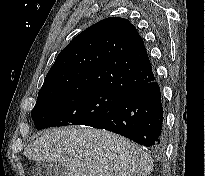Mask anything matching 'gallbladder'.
<instances>
[{
    "instance_id": "bac80fb5",
    "label": "gallbladder",
    "mask_w": 205,
    "mask_h": 176,
    "mask_svg": "<svg viewBox=\"0 0 205 176\" xmlns=\"http://www.w3.org/2000/svg\"><path fill=\"white\" fill-rule=\"evenodd\" d=\"M33 176H68V172L59 162L41 161L34 165Z\"/></svg>"
}]
</instances>
